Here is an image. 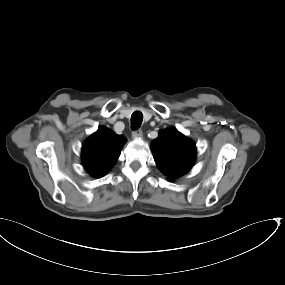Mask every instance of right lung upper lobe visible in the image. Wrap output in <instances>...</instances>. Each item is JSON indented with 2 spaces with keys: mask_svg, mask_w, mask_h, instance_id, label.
Here are the masks:
<instances>
[{
  "mask_svg": "<svg viewBox=\"0 0 285 285\" xmlns=\"http://www.w3.org/2000/svg\"><path fill=\"white\" fill-rule=\"evenodd\" d=\"M126 138L99 127L82 146V162L93 177L105 175L117 161Z\"/></svg>",
  "mask_w": 285,
  "mask_h": 285,
  "instance_id": "right-lung-upper-lobe-1",
  "label": "right lung upper lobe"
}]
</instances>
